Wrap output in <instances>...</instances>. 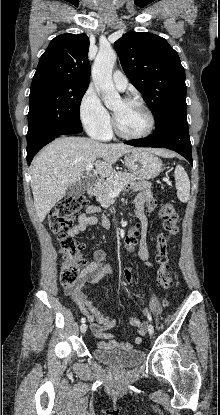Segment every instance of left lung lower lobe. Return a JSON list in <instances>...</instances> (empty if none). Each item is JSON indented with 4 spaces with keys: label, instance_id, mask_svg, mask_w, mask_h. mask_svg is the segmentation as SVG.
<instances>
[{
    "label": "left lung lower lobe",
    "instance_id": "0a47b994",
    "mask_svg": "<svg viewBox=\"0 0 220 415\" xmlns=\"http://www.w3.org/2000/svg\"><path fill=\"white\" fill-rule=\"evenodd\" d=\"M186 114L187 106L174 108L161 119L155 121L156 131L151 136L130 140L125 144L136 147H163L174 150L192 164L191 142Z\"/></svg>",
    "mask_w": 220,
    "mask_h": 415
}]
</instances>
